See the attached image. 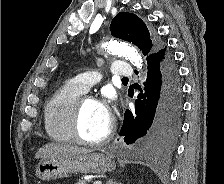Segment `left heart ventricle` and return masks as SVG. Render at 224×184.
<instances>
[{
    "label": "left heart ventricle",
    "instance_id": "1",
    "mask_svg": "<svg viewBox=\"0 0 224 184\" xmlns=\"http://www.w3.org/2000/svg\"><path fill=\"white\" fill-rule=\"evenodd\" d=\"M111 118L104 113L99 102L87 101L84 104L80 132L88 140H98L104 137L109 129Z\"/></svg>",
    "mask_w": 224,
    "mask_h": 184
}]
</instances>
